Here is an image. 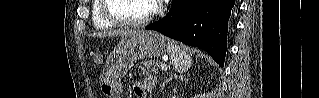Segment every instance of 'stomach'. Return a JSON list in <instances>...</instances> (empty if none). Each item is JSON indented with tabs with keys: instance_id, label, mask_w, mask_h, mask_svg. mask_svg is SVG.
I'll return each instance as SVG.
<instances>
[{
	"instance_id": "obj_1",
	"label": "stomach",
	"mask_w": 319,
	"mask_h": 98,
	"mask_svg": "<svg viewBox=\"0 0 319 98\" xmlns=\"http://www.w3.org/2000/svg\"><path fill=\"white\" fill-rule=\"evenodd\" d=\"M165 38L153 31H136L124 36L114 49L102 79V92L116 98L122 90V78L133 63L160 57L167 52Z\"/></svg>"
}]
</instances>
